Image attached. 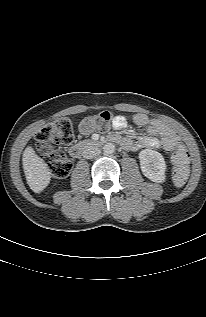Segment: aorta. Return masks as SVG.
<instances>
[{
  "instance_id": "1",
  "label": "aorta",
  "mask_w": 206,
  "mask_h": 317,
  "mask_svg": "<svg viewBox=\"0 0 206 317\" xmlns=\"http://www.w3.org/2000/svg\"><path fill=\"white\" fill-rule=\"evenodd\" d=\"M103 151L105 154H113L115 152V145L113 143H106L103 146Z\"/></svg>"
}]
</instances>
